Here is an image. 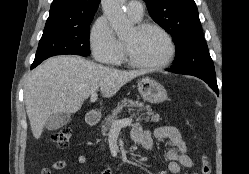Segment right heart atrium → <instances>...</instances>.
Wrapping results in <instances>:
<instances>
[{
    "instance_id": "1",
    "label": "right heart atrium",
    "mask_w": 249,
    "mask_h": 174,
    "mask_svg": "<svg viewBox=\"0 0 249 174\" xmlns=\"http://www.w3.org/2000/svg\"><path fill=\"white\" fill-rule=\"evenodd\" d=\"M90 44L94 58L101 63H116L122 56V45L104 17L98 18L90 31Z\"/></svg>"
}]
</instances>
